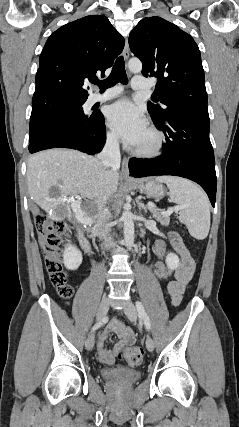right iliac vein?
Segmentation results:
<instances>
[{
    "label": "right iliac vein",
    "mask_w": 239,
    "mask_h": 427,
    "mask_svg": "<svg viewBox=\"0 0 239 427\" xmlns=\"http://www.w3.org/2000/svg\"><path fill=\"white\" fill-rule=\"evenodd\" d=\"M109 310V300L108 298H103L97 311V321L100 322L107 314ZM95 335L91 333L86 339L85 346L87 350H92L94 347Z\"/></svg>",
    "instance_id": "obj_1"
}]
</instances>
